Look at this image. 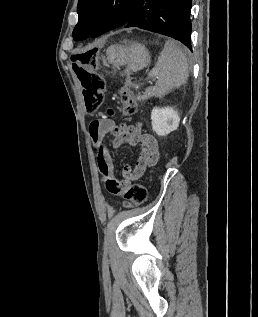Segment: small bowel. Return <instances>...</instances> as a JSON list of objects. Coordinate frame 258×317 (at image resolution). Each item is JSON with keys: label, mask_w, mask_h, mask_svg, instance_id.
Here are the masks:
<instances>
[{"label": "small bowel", "mask_w": 258, "mask_h": 317, "mask_svg": "<svg viewBox=\"0 0 258 317\" xmlns=\"http://www.w3.org/2000/svg\"><path fill=\"white\" fill-rule=\"evenodd\" d=\"M89 134L97 151L96 164L101 182L111 194L124 193L131 181L142 177L159 159L158 141L153 135L142 132L141 123L118 125L110 119L102 118L91 122ZM109 135L114 137L112 141L114 148L136 145L141 147L136 163L123 168L122 179H118L115 175L113 159L105 143V138Z\"/></svg>", "instance_id": "small-bowel-1"}]
</instances>
